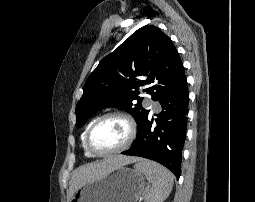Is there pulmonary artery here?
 <instances>
[{"mask_svg":"<svg viewBox=\"0 0 255 202\" xmlns=\"http://www.w3.org/2000/svg\"><path fill=\"white\" fill-rule=\"evenodd\" d=\"M146 106L155 112H157L159 110L158 105H156L155 103H153L151 101L146 102Z\"/></svg>","mask_w":255,"mask_h":202,"instance_id":"1","label":"pulmonary artery"}]
</instances>
